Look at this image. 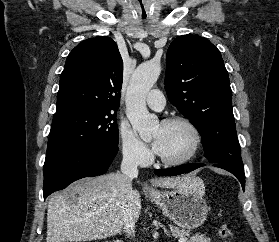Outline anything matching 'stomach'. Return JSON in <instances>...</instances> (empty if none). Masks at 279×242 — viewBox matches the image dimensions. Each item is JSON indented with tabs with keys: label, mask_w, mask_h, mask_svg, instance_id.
<instances>
[{
	"label": "stomach",
	"mask_w": 279,
	"mask_h": 242,
	"mask_svg": "<svg viewBox=\"0 0 279 242\" xmlns=\"http://www.w3.org/2000/svg\"><path fill=\"white\" fill-rule=\"evenodd\" d=\"M149 199L182 229H195L207 218L208 206L201 191L190 188L154 190Z\"/></svg>",
	"instance_id": "stomach-1"
}]
</instances>
